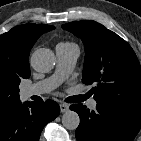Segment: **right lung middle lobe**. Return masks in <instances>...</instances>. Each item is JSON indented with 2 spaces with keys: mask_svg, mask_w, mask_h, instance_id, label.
Wrapping results in <instances>:
<instances>
[{
  "mask_svg": "<svg viewBox=\"0 0 141 141\" xmlns=\"http://www.w3.org/2000/svg\"><path fill=\"white\" fill-rule=\"evenodd\" d=\"M19 83L20 79L16 77H0V103L19 96Z\"/></svg>",
  "mask_w": 141,
  "mask_h": 141,
  "instance_id": "dd1d6c3e",
  "label": "right lung middle lobe"
}]
</instances>
